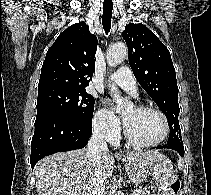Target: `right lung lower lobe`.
I'll use <instances>...</instances> for the list:
<instances>
[{"label": "right lung lower lobe", "mask_w": 211, "mask_h": 195, "mask_svg": "<svg viewBox=\"0 0 211 195\" xmlns=\"http://www.w3.org/2000/svg\"><path fill=\"white\" fill-rule=\"evenodd\" d=\"M92 134V121L51 117L35 122L31 143V167L45 156L85 147Z\"/></svg>", "instance_id": "obj_1"}]
</instances>
